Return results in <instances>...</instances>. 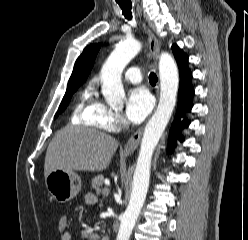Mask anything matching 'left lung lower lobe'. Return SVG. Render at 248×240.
<instances>
[{"label": "left lung lower lobe", "mask_w": 248, "mask_h": 240, "mask_svg": "<svg viewBox=\"0 0 248 240\" xmlns=\"http://www.w3.org/2000/svg\"><path fill=\"white\" fill-rule=\"evenodd\" d=\"M180 73V85L178 91V107L174 121L169 132L168 153H172L176 140L183 142L184 138L180 135L182 129L187 128L190 124L185 114L191 112L193 107L192 97L194 95V87L191 83L192 73L188 68V56L177 62ZM183 118V120H181Z\"/></svg>", "instance_id": "0a47b994"}]
</instances>
